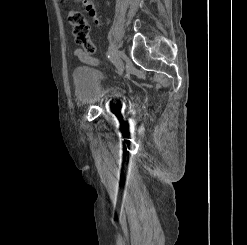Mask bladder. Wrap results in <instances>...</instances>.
I'll use <instances>...</instances> for the list:
<instances>
[{
    "instance_id": "31cf9c89",
    "label": "bladder",
    "mask_w": 247,
    "mask_h": 245,
    "mask_svg": "<svg viewBox=\"0 0 247 245\" xmlns=\"http://www.w3.org/2000/svg\"><path fill=\"white\" fill-rule=\"evenodd\" d=\"M75 98L84 106L100 105L116 106L124 98L122 87L108 84L102 74L92 67H80L74 71Z\"/></svg>"
}]
</instances>
